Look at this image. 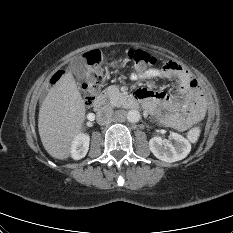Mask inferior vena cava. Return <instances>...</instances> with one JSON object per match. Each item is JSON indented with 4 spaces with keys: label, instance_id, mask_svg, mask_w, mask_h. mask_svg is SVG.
Here are the masks:
<instances>
[{
    "label": "inferior vena cava",
    "instance_id": "obj_1",
    "mask_svg": "<svg viewBox=\"0 0 233 233\" xmlns=\"http://www.w3.org/2000/svg\"><path fill=\"white\" fill-rule=\"evenodd\" d=\"M114 115V111L111 106L105 105L98 109L96 113V120L99 125L108 124Z\"/></svg>",
    "mask_w": 233,
    "mask_h": 233
}]
</instances>
